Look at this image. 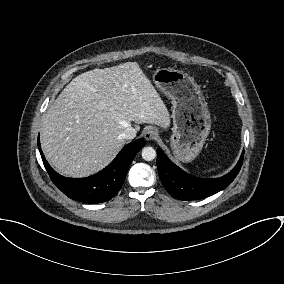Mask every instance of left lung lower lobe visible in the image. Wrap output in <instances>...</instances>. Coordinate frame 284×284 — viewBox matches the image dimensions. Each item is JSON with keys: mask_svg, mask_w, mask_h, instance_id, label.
I'll return each instance as SVG.
<instances>
[{"mask_svg": "<svg viewBox=\"0 0 284 284\" xmlns=\"http://www.w3.org/2000/svg\"><path fill=\"white\" fill-rule=\"evenodd\" d=\"M244 151L237 165L225 176L202 179L191 176L176 166L162 152L157 150V169L159 177L168 193L178 200H195L213 195L226 188L239 173L243 163Z\"/></svg>", "mask_w": 284, "mask_h": 284, "instance_id": "obj_1", "label": "left lung lower lobe"}]
</instances>
